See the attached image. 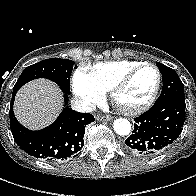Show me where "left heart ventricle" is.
<instances>
[{
    "label": "left heart ventricle",
    "mask_w": 196,
    "mask_h": 196,
    "mask_svg": "<svg viewBox=\"0 0 196 196\" xmlns=\"http://www.w3.org/2000/svg\"><path fill=\"white\" fill-rule=\"evenodd\" d=\"M157 82V73L152 68L140 70L118 96L121 107H132L145 102L152 94Z\"/></svg>",
    "instance_id": "obj_1"
}]
</instances>
